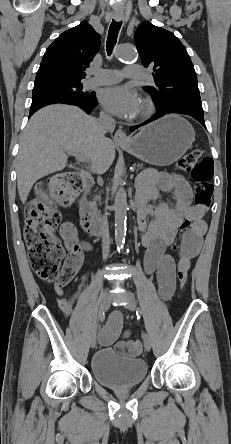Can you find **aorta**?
<instances>
[{"label": "aorta", "mask_w": 231, "mask_h": 444, "mask_svg": "<svg viewBox=\"0 0 231 444\" xmlns=\"http://www.w3.org/2000/svg\"><path fill=\"white\" fill-rule=\"evenodd\" d=\"M116 57L120 60L131 61L136 57L133 47L122 44L116 50ZM123 181L117 174L115 177V241L118 246H122L126 236V220H127V194L123 187Z\"/></svg>", "instance_id": "1"}]
</instances>
